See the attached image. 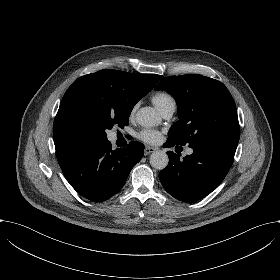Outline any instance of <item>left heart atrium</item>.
Instances as JSON below:
<instances>
[{
  "label": "left heart atrium",
  "instance_id": "1",
  "mask_svg": "<svg viewBox=\"0 0 280 280\" xmlns=\"http://www.w3.org/2000/svg\"><path fill=\"white\" fill-rule=\"evenodd\" d=\"M137 138L146 143H155L159 140V132L151 129H142L137 133Z\"/></svg>",
  "mask_w": 280,
  "mask_h": 280
}]
</instances>
